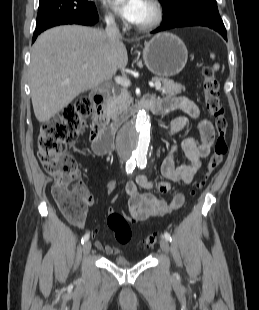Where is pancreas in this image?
I'll return each instance as SVG.
<instances>
[{"label": "pancreas", "mask_w": 259, "mask_h": 310, "mask_svg": "<svg viewBox=\"0 0 259 310\" xmlns=\"http://www.w3.org/2000/svg\"><path fill=\"white\" fill-rule=\"evenodd\" d=\"M155 82H162L160 91L163 96L175 97L185 88L172 80L161 77H154ZM133 99L126 88H121L118 94H115L108 102L107 114L116 122L128 118V111Z\"/></svg>", "instance_id": "1"}]
</instances>
